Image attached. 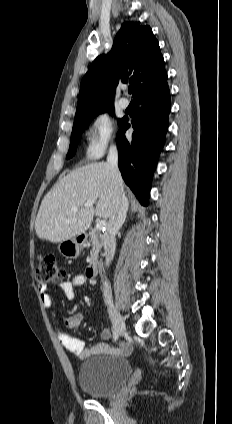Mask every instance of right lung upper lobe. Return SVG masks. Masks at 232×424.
<instances>
[{
    "label": "right lung upper lobe",
    "instance_id": "obj_1",
    "mask_svg": "<svg viewBox=\"0 0 232 424\" xmlns=\"http://www.w3.org/2000/svg\"><path fill=\"white\" fill-rule=\"evenodd\" d=\"M158 41L149 26L124 22L111 52L98 56L80 84L75 120L113 107L115 87L129 82L133 97L153 87L165 73Z\"/></svg>",
    "mask_w": 232,
    "mask_h": 424
}]
</instances>
